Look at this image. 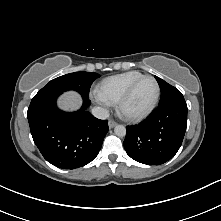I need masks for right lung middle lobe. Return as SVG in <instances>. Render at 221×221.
Masks as SVG:
<instances>
[{
  "mask_svg": "<svg viewBox=\"0 0 221 221\" xmlns=\"http://www.w3.org/2000/svg\"><path fill=\"white\" fill-rule=\"evenodd\" d=\"M98 77H100L99 74L89 72H74L57 77L39 90L32 100L50 95H60L68 90H75L82 97H89L91 84Z\"/></svg>",
  "mask_w": 221,
  "mask_h": 221,
  "instance_id": "1",
  "label": "right lung middle lobe"
}]
</instances>
